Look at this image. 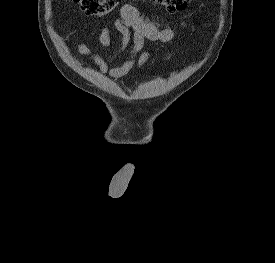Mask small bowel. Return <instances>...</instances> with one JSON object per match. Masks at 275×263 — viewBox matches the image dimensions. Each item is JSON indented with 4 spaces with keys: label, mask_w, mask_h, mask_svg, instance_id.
Returning <instances> with one entry per match:
<instances>
[{
    "label": "small bowel",
    "mask_w": 275,
    "mask_h": 263,
    "mask_svg": "<svg viewBox=\"0 0 275 263\" xmlns=\"http://www.w3.org/2000/svg\"><path fill=\"white\" fill-rule=\"evenodd\" d=\"M114 27L121 34L122 42L119 53L111 58L106 59L93 53L85 43L77 44V51L91 58L99 72L111 79H119L125 76L134 65L142 67L150 60V53L143 52L147 41L166 43L174 37L173 28H163L158 20L143 18L132 4L121 6L120 17L114 21ZM131 41L133 44L129 57L122 64L110 67V64L128 48ZM99 42L104 50L110 46L111 37L108 26L102 28Z\"/></svg>",
    "instance_id": "1"
}]
</instances>
